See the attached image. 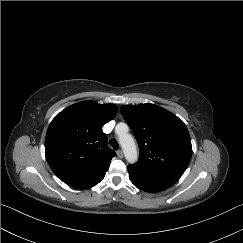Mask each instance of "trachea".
I'll return each mask as SVG.
<instances>
[{
	"mask_svg": "<svg viewBox=\"0 0 243 243\" xmlns=\"http://www.w3.org/2000/svg\"><path fill=\"white\" fill-rule=\"evenodd\" d=\"M109 143H110L111 147L113 148V150H117L119 148V144L116 139H111L109 141Z\"/></svg>",
	"mask_w": 243,
	"mask_h": 243,
	"instance_id": "obj_1",
	"label": "trachea"
}]
</instances>
